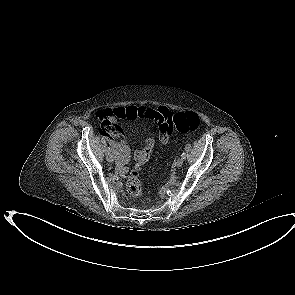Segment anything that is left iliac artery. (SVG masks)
Returning <instances> with one entry per match:
<instances>
[{"instance_id": "44dca946", "label": "left iliac artery", "mask_w": 295, "mask_h": 295, "mask_svg": "<svg viewBox=\"0 0 295 295\" xmlns=\"http://www.w3.org/2000/svg\"><path fill=\"white\" fill-rule=\"evenodd\" d=\"M181 157H182V159H185V158H186V153L183 152V153L181 154Z\"/></svg>"}]
</instances>
